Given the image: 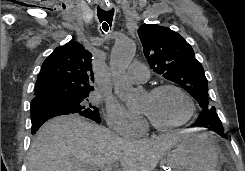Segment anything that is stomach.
<instances>
[{"mask_svg":"<svg viewBox=\"0 0 245 171\" xmlns=\"http://www.w3.org/2000/svg\"><path fill=\"white\" fill-rule=\"evenodd\" d=\"M220 150L209 132L183 135L163 156L165 171H218Z\"/></svg>","mask_w":245,"mask_h":171,"instance_id":"obj_1","label":"stomach"}]
</instances>
